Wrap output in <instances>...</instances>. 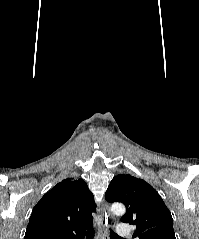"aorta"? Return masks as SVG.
<instances>
[{"label":"aorta","instance_id":"1","mask_svg":"<svg viewBox=\"0 0 199 239\" xmlns=\"http://www.w3.org/2000/svg\"><path fill=\"white\" fill-rule=\"evenodd\" d=\"M125 211H126L125 206L121 203H114L111 206V212L115 215H123Z\"/></svg>","mask_w":199,"mask_h":239}]
</instances>
